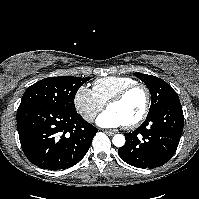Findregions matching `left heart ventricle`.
Masks as SVG:
<instances>
[{"instance_id": "1", "label": "left heart ventricle", "mask_w": 199, "mask_h": 199, "mask_svg": "<svg viewBox=\"0 0 199 199\" xmlns=\"http://www.w3.org/2000/svg\"><path fill=\"white\" fill-rule=\"evenodd\" d=\"M145 104V94L141 89L131 91L121 102L114 103L108 110L115 112L125 124L136 120L142 113Z\"/></svg>"}]
</instances>
